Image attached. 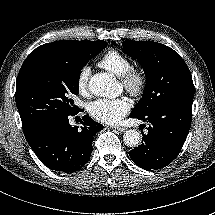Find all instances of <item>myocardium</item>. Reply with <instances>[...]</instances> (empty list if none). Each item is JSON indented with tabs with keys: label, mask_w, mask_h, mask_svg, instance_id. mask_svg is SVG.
Returning <instances> with one entry per match:
<instances>
[{
	"label": "myocardium",
	"mask_w": 215,
	"mask_h": 215,
	"mask_svg": "<svg viewBox=\"0 0 215 215\" xmlns=\"http://www.w3.org/2000/svg\"><path fill=\"white\" fill-rule=\"evenodd\" d=\"M120 79L124 89L132 97L139 99L146 93L148 76L143 68L131 66Z\"/></svg>",
	"instance_id": "obj_1"
}]
</instances>
